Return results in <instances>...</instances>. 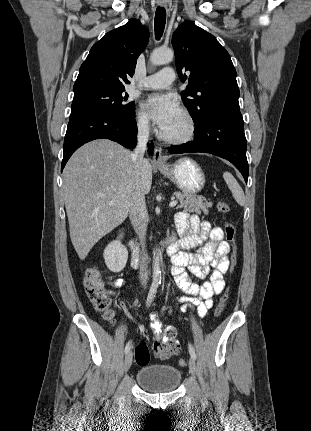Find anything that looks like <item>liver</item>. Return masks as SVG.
Returning a JSON list of instances; mask_svg holds the SVG:
<instances>
[{
    "instance_id": "6515ba94",
    "label": "liver",
    "mask_w": 311,
    "mask_h": 431,
    "mask_svg": "<svg viewBox=\"0 0 311 431\" xmlns=\"http://www.w3.org/2000/svg\"><path fill=\"white\" fill-rule=\"evenodd\" d=\"M132 152L110 140H94L79 148L63 172V198L71 241L85 259L93 245L129 214L136 182ZM152 166L143 160V194L152 186ZM109 202H115L109 206Z\"/></svg>"
}]
</instances>
